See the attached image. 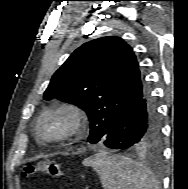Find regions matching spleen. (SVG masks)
I'll return each mask as SVG.
<instances>
[{"label":"spleen","mask_w":188,"mask_h":189,"mask_svg":"<svg viewBox=\"0 0 188 189\" xmlns=\"http://www.w3.org/2000/svg\"><path fill=\"white\" fill-rule=\"evenodd\" d=\"M100 177L104 189H157V183L143 164L122 155L101 151L83 160Z\"/></svg>","instance_id":"1"}]
</instances>
